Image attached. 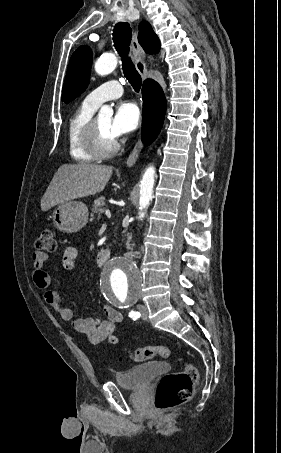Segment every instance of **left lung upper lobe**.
<instances>
[{
	"mask_svg": "<svg viewBox=\"0 0 281 453\" xmlns=\"http://www.w3.org/2000/svg\"><path fill=\"white\" fill-rule=\"evenodd\" d=\"M92 51L80 46L72 55L63 86L62 101L68 103L85 91L89 84Z\"/></svg>",
	"mask_w": 281,
	"mask_h": 453,
	"instance_id": "1",
	"label": "left lung upper lobe"
}]
</instances>
